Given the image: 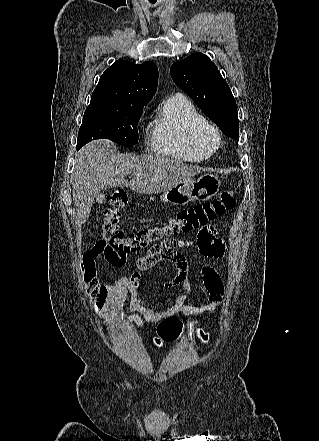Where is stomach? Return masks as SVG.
I'll return each mask as SVG.
<instances>
[{
  "label": "stomach",
  "instance_id": "0dacf381",
  "mask_svg": "<svg viewBox=\"0 0 319 441\" xmlns=\"http://www.w3.org/2000/svg\"><path fill=\"white\" fill-rule=\"evenodd\" d=\"M221 186L218 176L205 173L197 179L183 180L176 186L163 192L160 196L163 202L184 206L193 201H204L215 196Z\"/></svg>",
  "mask_w": 319,
  "mask_h": 441
}]
</instances>
